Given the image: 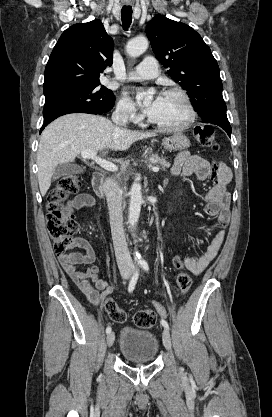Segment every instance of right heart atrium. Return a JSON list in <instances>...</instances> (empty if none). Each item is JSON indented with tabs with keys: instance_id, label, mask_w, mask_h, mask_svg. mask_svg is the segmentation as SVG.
<instances>
[{
	"instance_id": "obj_1",
	"label": "right heart atrium",
	"mask_w": 272,
	"mask_h": 417,
	"mask_svg": "<svg viewBox=\"0 0 272 417\" xmlns=\"http://www.w3.org/2000/svg\"><path fill=\"white\" fill-rule=\"evenodd\" d=\"M116 114L119 118L126 121L136 122L140 119L133 102L126 95H123L118 101Z\"/></svg>"
}]
</instances>
